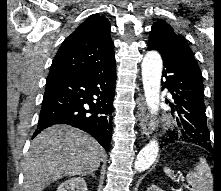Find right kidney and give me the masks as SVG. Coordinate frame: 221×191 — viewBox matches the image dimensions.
Wrapping results in <instances>:
<instances>
[{"instance_id": "ca27d5eb", "label": "right kidney", "mask_w": 221, "mask_h": 191, "mask_svg": "<svg viewBox=\"0 0 221 191\" xmlns=\"http://www.w3.org/2000/svg\"><path fill=\"white\" fill-rule=\"evenodd\" d=\"M57 191H87V184L81 177L71 178L60 184Z\"/></svg>"}]
</instances>
